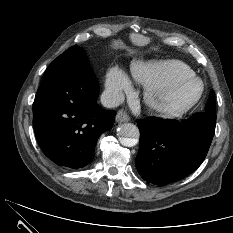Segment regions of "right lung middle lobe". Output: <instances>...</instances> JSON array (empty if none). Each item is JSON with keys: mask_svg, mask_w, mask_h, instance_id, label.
<instances>
[{"mask_svg": "<svg viewBox=\"0 0 233 233\" xmlns=\"http://www.w3.org/2000/svg\"><path fill=\"white\" fill-rule=\"evenodd\" d=\"M79 63L89 64L83 49L78 46H73L67 52H64L57 57L50 65Z\"/></svg>", "mask_w": 233, "mask_h": 233, "instance_id": "dd1d6c3e", "label": "right lung middle lobe"}]
</instances>
